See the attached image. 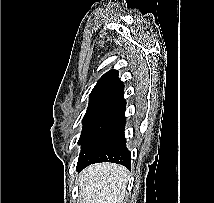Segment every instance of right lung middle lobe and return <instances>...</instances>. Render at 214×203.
<instances>
[{
	"instance_id": "1",
	"label": "right lung middle lobe",
	"mask_w": 214,
	"mask_h": 203,
	"mask_svg": "<svg viewBox=\"0 0 214 203\" xmlns=\"http://www.w3.org/2000/svg\"><path fill=\"white\" fill-rule=\"evenodd\" d=\"M114 101L115 100L111 98H90L87 111L82 121L83 130L81 132L78 144H81L96 121L114 103Z\"/></svg>"
}]
</instances>
